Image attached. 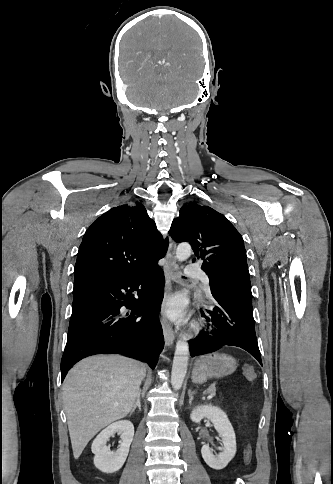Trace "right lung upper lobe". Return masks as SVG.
Segmentation results:
<instances>
[{
	"label": "right lung upper lobe",
	"instance_id": "obj_1",
	"mask_svg": "<svg viewBox=\"0 0 333 484\" xmlns=\"http://www.w3.org/2000/svg\"><path fill=\"white\" fill-rule=\"evenodd\" d=\"M167 247L168 241H163L142 204L112 208L84 234L74 283L90 278L136 277L157 265Z\"/></svg>",
	"mask_w": 333,
	"mask_h": 484
}]
</instances>
